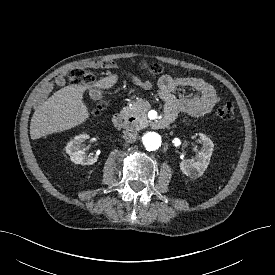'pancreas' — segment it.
<instances>
[{
  "instance_id": "1",
  "label": "pancreas",
  "mask_w": 275,
  "mask_h": 275,
  "mask_svg": "<svg viewBox=\"0 0 275 275\" xmlns=\"http://www.w3.org/2000/svg\"><path fill=\"white\" fill-rule=\"evenodd\" d=\"M151 109V105L148 101L143 99H138L131 106L124 108L121 114L126 117L135 118L136 122L141 126H146L148 120L146 113Z\"/></svg>"
}]
</instances>
